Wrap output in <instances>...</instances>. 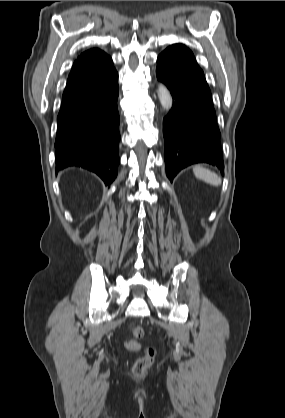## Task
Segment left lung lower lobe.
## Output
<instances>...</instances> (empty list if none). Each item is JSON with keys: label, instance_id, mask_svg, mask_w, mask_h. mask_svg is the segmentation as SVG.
I'll list each match as a JSON object with an SVG mask.
<instances>
[{"label": "left lung lower lobe", "instance_id": "left-lung-lower-lobe-1", "mask_svg": "<svg viewBox=\"0 0 285 418\" xmlns=\"http://www.w3.org/2000/svg\"><path fill=\"white\" fill-rule=\"evenodd\" d=\"M156 75L173 106L163 120L166 174L172 181L188 165L206 162L223 173L220 131L204 73L185 45L174 44L157 59Z\"/></svg>", "mask_w": 285, "mask_h": 418}]
</instances>
